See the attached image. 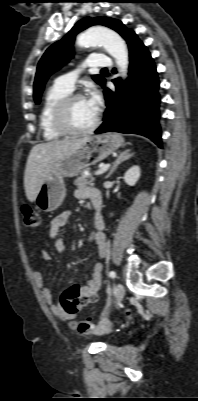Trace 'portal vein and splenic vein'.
Listing matches in <instances>:
<instances>
[{"mask_svg": "<svg viewBox=\"0 0 198 401\" xmlns=\"http://www.w3.org/2000/svg\"><path fill=\"white\" fill-rule=\"evenodd\" d=\"M109 168H110V164H106L100 170H98L95 174L101 175V174L105 173Z\"/></svg>", "mask_w": 198, "mask_h": 401, "instance_id": "1", "label": "portal vein and splenic vein"}]
</instances>
